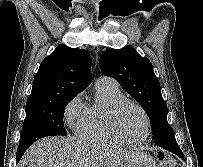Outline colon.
Wrapping results in <instances>:
<instances>
[{
	"mask_svg": "<svg viewBox=\"0 0 203 167\" xmlns=\"http://www.w3.org/2000/svg\"><path fill=\"white\" fill-rule=\"evenodd\" d=\"M158 167H177V166L170 156L164 153H160L158 156Z\"/></svg>",
	"mask_w": 203,
	"mask_h": 167,
	"instance_id": "obj_1",
	"label": "colon"
}]
</instances>
